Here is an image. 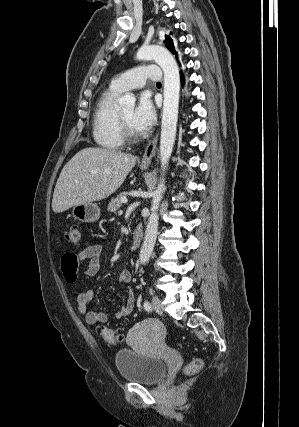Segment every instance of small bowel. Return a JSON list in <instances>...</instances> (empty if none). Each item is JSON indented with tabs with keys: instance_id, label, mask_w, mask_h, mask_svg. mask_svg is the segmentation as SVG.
<instances>
[{
	"instance_id": "small-bowel-1",
	"label": "small bowel",
	"mask_w": 299,
	"mask_h": 427,
	"mask_svg": "<svg viewBox=\"0 0 299 427\" xmlns=\"http://www.w3.org/2000/svg\"><path fill=\"white\" fill-rule=\"evenodd\" d=\"M103 246L99 242L90 244L83 248L78 253H66L61 258V268L65 279L69 283H75L79 277V264H84V279L91 282L100 272L102 266ZM118 280L125 286H130L132 283V274L129 270H123L118 276ZM93 298V291L88 289L80 292L77 296V309L81 316L89 325L105 324L108 317L103 312L90 311L88 306ZM135 304V297L133 292L129 291L125 303L122 307L114 313L115 320H121L128 316Z\"/></svg>"
}]
</instances>
